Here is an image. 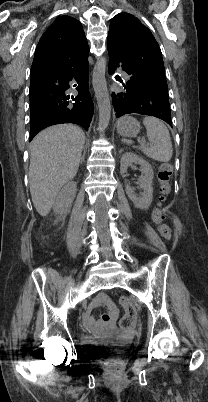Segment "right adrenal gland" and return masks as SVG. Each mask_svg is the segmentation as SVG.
<instances>
[{"label": "right adrenal gland", "mask_w": 208, "mask_h": 402, "mask_svg": "<svg viewBox=\"0 0 208 402\" xmlns=\"http://www.w3.org/2000/svg\"><path fill=\"white\" fill-rule=\"evenodd\" d=\"M85 152H86V148H84V154H83V156H81V162H84V160H85Z\"/></svg>", "instance_id": "2a0ac1e0"}]
</instances>
